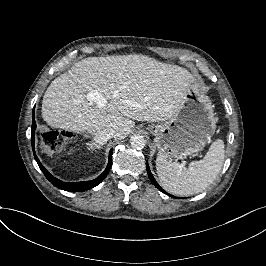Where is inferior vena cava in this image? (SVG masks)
Segmentation results:
<instances>
[{
	"label": "inferior vena cava",
	"instance_id": "1",
	"mask_svg": "<svg viewBox=\"0 0 266 266\" xmlns=\"http://www.w3.org/2000/svg\"><path fill=\"white\" fill-rule=\"evenodd\" d=\"M92 135L93 140L97 144L104 145L109 139L113 137L114 133L108 130H98L96 132H93Z\"/></svg>",
	"mask_w": 266,
	"mask_h": 266
}]
</instances>
